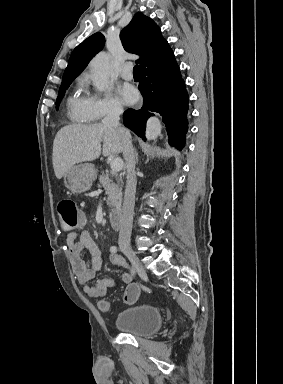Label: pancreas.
I'll return each instance as SVG.
<instances>
[{"instance_id": "obj_1", "label": "pancreas", "mask_w": 283, "mask_h": 384, "mask_svg": "<svg viewBox=\"0 0 283 384\" xmlns=\"http://www.w3.org/2000/svg\"><path fill=\"white\" fill-rule=\"evenodd\" d=\"M101 174L99 182L106 190L107 206L110 208V216H113V214H117L121 210L122 186L118 182V174L116 172H101Z\"/></svg>"}]
</instances>
